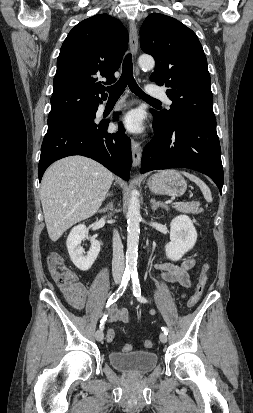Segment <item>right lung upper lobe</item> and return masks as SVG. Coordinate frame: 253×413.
Returning <instances> with one entry per match:
<instances>
[{"mask_svg":"<svg viewBox=\"0 0 253 413\" xmlns=\"http://www.w3.org/2000/svg\"><path fill=\"white\" fill-rule=\"evenodd\" d=\"M127 46L126 28L107 14L92 16L76 25L58 56L49 117L98 107L107 97L98 80L106 79L103 84L116 81L114 73Z\"/></svg>","mask_w":253,"mask_h":413,"instance_id":"1","label":"right lung upper lobe"}]
</instances>
